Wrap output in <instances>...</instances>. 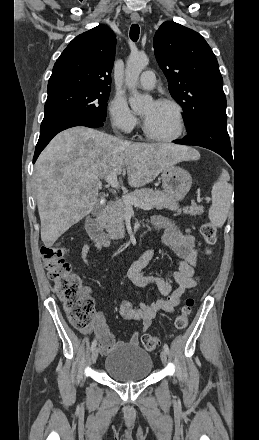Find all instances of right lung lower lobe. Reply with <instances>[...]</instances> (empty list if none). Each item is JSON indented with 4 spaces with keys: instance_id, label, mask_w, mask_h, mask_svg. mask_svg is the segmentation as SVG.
Returning <instances> with one entry per match:
<instances>
[{
    "instance_id": "1",
    "label": "right lung lower lobe",
    "mask_w": 259,
    "mask_h": 440,
    "mask_svg": "<svg viewBox=\"0 0 259 440\" xmlns=\"http://www.w3.org/2000/svg\"><path fill=\"white\" fill-rule=\"evenodd\" d=\"M74 126L94 128L103 126V122L81 115H64L43 120L40 127L39 140L35 148L33 163H35L41 151L56 134Z\"/></svg>"
}]
</instances>
